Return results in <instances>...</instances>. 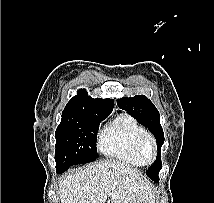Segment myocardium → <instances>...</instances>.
<instances>
[{"mask_svg":"<svg viewBox=\"0 0 214 203\" xmlns=\"http://www.w3.org/2000/svg\"><path fill=\"white\" fill-rule=\"evenodd\" d=\"M147 148L150 150L149 158L146 155ZM137 151L145 164L154 162L157 157V148L154 138L150 134L145 133L138 141Z\"/></svg>","mask_w":214,"mask_h":203,"instance_id":"1","label":"myocardium"}]
</instances>
